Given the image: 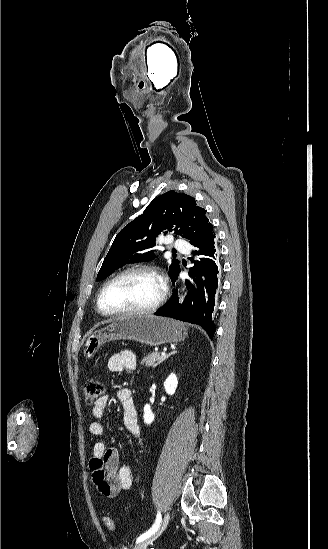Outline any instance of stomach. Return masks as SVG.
<instances>
[{"label":"stomach","instance_id":"1","mask_svg":"<svg viewBox=\"0 0 328 549\" xmlns=\"http://www.w3.org/2000/svg\"><path fill=\"white\" fill-rule=\"evenodd\" d=\"M186 335L187 327L181 321L133 313L118 317L104 329L90 333L83 345V355L85 359H92L104 343L118 339H129L150 347H158L164 343H181Z\"/></svg>","mask_w":328,"mask_h":549}]
</instances>
